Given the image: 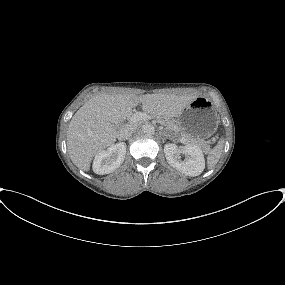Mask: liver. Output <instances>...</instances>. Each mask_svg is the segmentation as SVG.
<instances>
[{
  "mask_svg": "<svg viewBox=\"0 0 285 285\" xmlns=\"http://www.w3.org/2000/svg\"><path fill=\"white\" fill-rule=\"evenodd\" d=\"M196 95L175 94H99L90 98L72 117L67 130V151L79 169L90 170L92 158L114 144L118 124L129 118L132 108L142 103L151 117L171 119ZM135 128L136 123H130Z\"/></svg>",
  "mask_w": 285,
  "mask_h": 285,
  "instance_id": "6515ba94",
  "label": "liver"
}]
</instances>
